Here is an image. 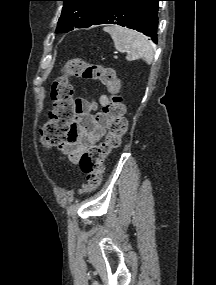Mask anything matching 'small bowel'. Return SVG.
Instances as JSON below:
<instances>
[{
  "label": "small bowel",
  "mask_w": 216,
  "mask_h": 285,
  "mask_svg": "<svg viewBox=\"0 0 216 285\" xmlns=\"http://www.w3.org/2000/svg\"><path fill=\"white\" fill-rule=\"evenodd\" d=\"M107 103L106 95H101L98 102L86 99L76 100V118L61 146L73 163H78L84 152L105 137L108 117L98 110V106H104Z\"/></svg>",
  "instance_id": "1"
}]
</instances>
